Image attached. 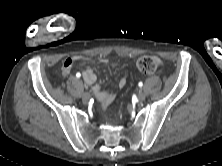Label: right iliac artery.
I'll list each match as a JSON object with an SVG mask.
<instances>
[{
	"mask_svg": "<svg viewBox=\"0 0 222 166\" xmlns=\"http://www.w3.org/2000/svg\"><path fill=\"white\" fill-rule=\"evenodd\" d=\"M80 76H81V74H80V73H77V74H76V77H78V78H79Z\"/></svg>",
	"mask_w": 222,
	"mask_h": 166,
	"instance_id": "right-iliac-artery-1",
	"label": "right iliac artery"
}]
</instances>
